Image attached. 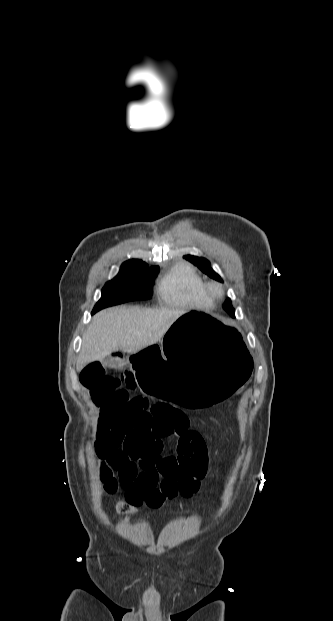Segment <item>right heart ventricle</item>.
<instances>
[{"label": "right heart ventricle", "mask_w": 333, "mask_h": 621, "mask_svg": "<svg viewBox=\"0 0 333 621\" xmlns=\"http://www.w3.org/2000/svg\"><path fill=\"white\" fill-rule=\"evenodd\" d=\"M160 299L180 307L211 308L214 304L201 275L186 263L175 264L158 286Z\"/></svg>", "instance_id": "right-heart-ventricle-1"}]
</instances>
